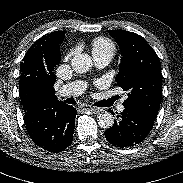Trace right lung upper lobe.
<instances>
[{"instance_id":"right-lung-upper-lobe-1","label":"right lung upper lobe","mask_w":183,"mask_h":183,"mask_svg":"<svg viewBox=\"0 0 183 183\" xmlns=\"http://www.w3.org/2000/svg\"><path fill=\"white\" fill-rule=\"evenodd\" d=\"M64 31L38 39L27 51L20 66L19 95L23 109L41 101H56L54 67L60 62L59 44Z\"/></svg>"}]
</instances>
